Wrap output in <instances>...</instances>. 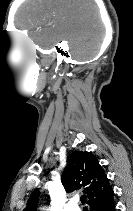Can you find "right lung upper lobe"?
Wrapping results in <instances>:
<instances>
[{"label":"right lung upper lobe","instance_id":"cb5924a9","mask_svg":"<svg viewBox=\"0 0 133 211\" xmlns=\"http://www.w3.org/2000/svg\"><path fill=\"white\" fill-rule=\"evenodd\" d=\"M61 181L68 193L83 188L89 199L90 209L113 199V189L107 176L91 152L76 151L69 155ZM38 198L39 193L35 190L23 211H36Z\"/></svg>","mask_w":133,"mask_h":211}]
</instances>
